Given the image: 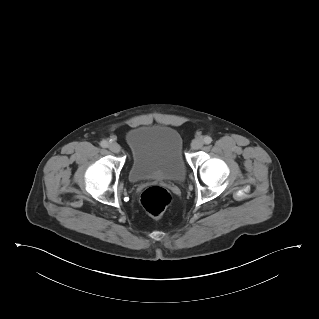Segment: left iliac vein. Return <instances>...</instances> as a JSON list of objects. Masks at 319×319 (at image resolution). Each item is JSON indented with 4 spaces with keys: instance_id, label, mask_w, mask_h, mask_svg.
Segmentation results:
<instances>
[{
    "instance_id": "4c4485c4",
    "label": "left iliac vein",
    "mask_w": 319,
    "mask_h": 319,
    "mask_svg": "<svg viewBox=\"0 0 319 319\" xmlns=\"http://www.w3.org/2000/svg\"><path fill=\"white\" fill-rule=\"evenodd\" d=\"M203 145H204L203 140L200 139V138H196V139H194V140L192 141V143H191V148H192L193 150H198V149L202 148Z\"/></svg>"
}]
</instances>
